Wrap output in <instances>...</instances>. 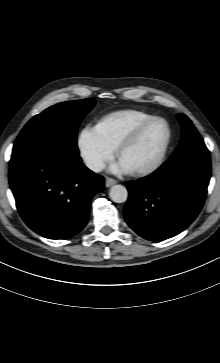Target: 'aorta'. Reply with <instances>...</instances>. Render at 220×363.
I'll return each instance as SVG.
<instances>
[{
    "label": "aorta",
    "instance_id": "obj_1",
    "mask_svg": "<svg viewBox=\"0 0 220 363\" xmlns=\"http://www.w3.org/2000/svg\"><path fill=\"white\" fill-rule=\"evenodd\" d=\"M109 196L116 203H123L128 198V191L123 185H114L110 188Z\"/></svg>",
    "mask_w": 220,
    "mask_h": 363
}]
</instances>
